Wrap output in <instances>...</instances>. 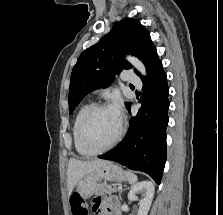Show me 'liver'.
I'll return each mask as SVG.
<instances>
[{
    "label": "liver",
    "instance_id": "6515ba94",
    "mask_svg": "<svg viewBox=\"0 0 223 215\" xmlns=\"http://www.w3.org/2000/svg\"><path fill=\"white\" fill-rule=\"evenodd\" d=\"M106 163L105 159H91V161H81V159H74V157H70L68 163V195L70 197L76 183H78L81 177H84L86 173H91V171H95L98 169L100 165Z\"/></svg>",
    "mask_w": 223,
    "mask_h": 215
}]
</instances>
